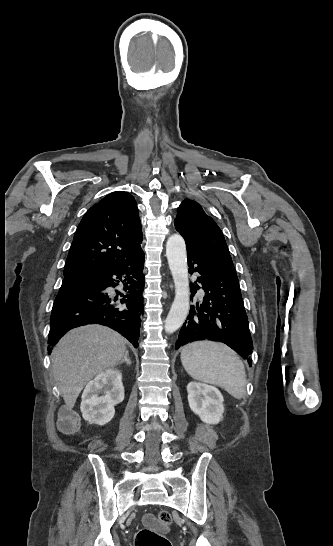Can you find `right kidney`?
Wrapping results in <instances>:
<instances>
[{
  "instance_id": "1",
  "label": "right kidney",
  "mask_w": 333,
  "mask_h": 546,
  "mask_svg": "<svg viewBox=\"0 0 333 546\" xmlns=\"http://www.w3.org/2000/svg\"><path fill=\"white\" fill-rule=\"evenodd\" d=\"M123 399L121 372L114 368L101 372L83 391L80 406L83 418L91 424L105 425L114 417V406Z\"/></svg>"
}]
</instances>
